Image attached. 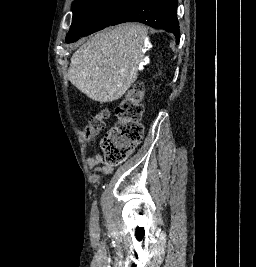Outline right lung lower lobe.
Masks as SVG:
<instances>
[{
	"label": "right lung lower lobe",
	"mask_w": 256,
	"mask_h": 267,
	"mask_svg": "<svg viewBox=\"0 0 256 267\" xmlns=\"http://www.w3.org/2000/svg\"><path fill=\"white\" fill-rule=\"evenodd\" d=\"M178 0H139L111 25L124 22H140L156 29L174 33L179 43V23L177 19Z\"/></svg>",
	"instance_id": "98d812e1"
}]
</instances>
